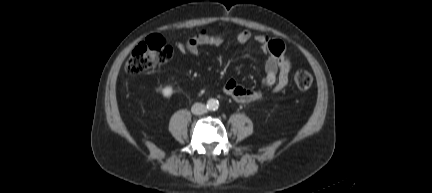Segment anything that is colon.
Returning a JSON list of instances; mask_svg holds the SVG:
<instances>
[{
	"label": "colon",
	"mask_w": 432,
	"mask_h": 193,
	"mask_svg": "<svg viewBox=\"0 0 432 193\" xmlns=\"http://www.w3.org/2000/svg\"><path fill=\"white\" fill-rule=\"evenodd\" d=\"M172 53V47L161 36L152 35L133 49L124 65V71L129 75L141 74L167 63ZM294 82L299 89L306 90L311 87L313 77L308 71L301 69L295 72Z\"/></svg>",
	"instance_id": "1"
}]
</instances>
